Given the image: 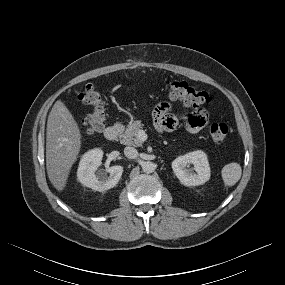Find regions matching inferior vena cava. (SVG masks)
Instances as JSON below:
<instances>
[{
  "label": "inferior vena cava",
  "instance_id": "602c4592",
  "mask_svg": "<svg viewBox=\"0 0 285 285\" xmlns=\"http://www.w3.org/2000/svg\"><path fill=\"white\" fill-rule=\"evenodd\" d=\"M124 154L129 159H135L138 157V151L133 147H125Z\"/></svg>",
  "mask_w": 285,
  "mask_h": 285
}]
</instances>
